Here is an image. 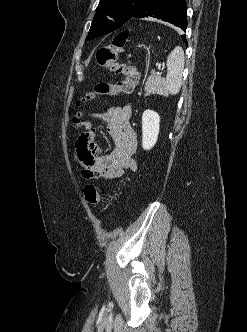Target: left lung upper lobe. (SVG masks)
<instances>
[{
  "mask_svg": "<svg viewBox=\"0 0 247 332\" xmlns=\"http://www.w3.org/2000/svg\"><path fill=\"white\" fill-rule=\"evenodd\" d=\"M146 0H100L86 40L113 32L129 21Z\"/></svg>",
  "mask_w": 247,
  "mask_h": 332,
  "instance_id": "1",
  "label": "left lung upper lobe"
}]
</instances>
